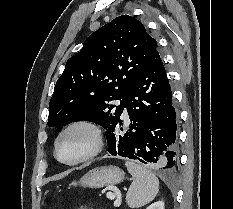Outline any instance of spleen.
<instances>
[{
    "label": "spleen",
    "mask_w": 233,
    "mask_h": 209,
    "mask_svg": "<svg viewBox=\"0 0 233 209\" xmlns=\"http://www.w3.org/2000/svg\"><path fill=\"white\" fill-rule=\"evenodd\" d=\"M125 166L133 176L126 194L127 205L130 208H140L154 200L159 191V180L155 174L133 161H126Z\"/></svg>",
    "instance_id": "obj_1"
}]
</instances>
